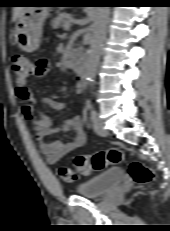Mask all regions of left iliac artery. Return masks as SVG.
<instances>
[{
	"instance_id": "obj_1",
	"label": "left iliac artery",
	"mask_w": 170,
	"mask_h": 231,
	"mask_svg": "<svg viewBox=\"0 0 170 231\" xmlns=\"http://www.w3.org/2000/svg\"><path fill=\"white\" fill-rule=\"evenodd\" d=\"M86 107L90 111L91 121H94L97 118V113L93 108V105L89 99L86 100Z\"/></svg>"
}]
</instances>
